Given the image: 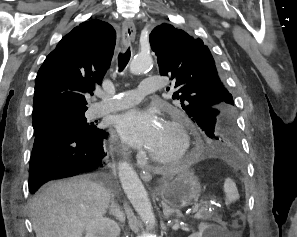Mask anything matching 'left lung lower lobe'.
Masks as SVG:
<instances>
[{"label": "left lung lower lobe", "mask_w": 297, "mask_h": 237, "mask_svg": "<svg viewBox=\"0 0 297 237\" xmlns=\"http://www.w3.org/2000/svg\"><path fill=\"white\" fill-rule=\"evenodd\" d=\"M194 153L203 155V156L213 155V156L226 157V158L234 157L236 155V154L229 155L223 150L220 143L212 140L205 141L203 143L198 144L194 149Z\"/></svg>", "instance_id": "obj_1"}]
</instances>
